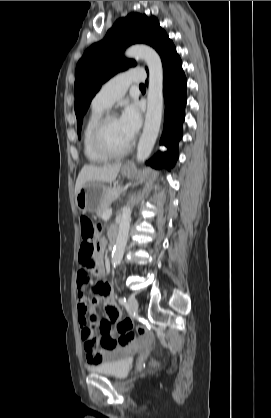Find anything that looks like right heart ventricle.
I'll return each mask as SVG.
<instances>
[{
    "label": "right heart ventricle",
    "instance_id": "e07e8e85",
    "mask_svg": "<svg viewBox=\"0 0 271 418\" xmlns=\"http://www.w3.org/2000/svg\"><path fill=\"white\" fill-rule=\"evenodd\" d=\"M106 109L92 106L84 125L82 141L83 152L87 160L91 163H103L109 158L100 154L93 146L92 132L98 120L104 115Z\"/></svg>",
    "mask_w": 271,
    "mask_h": 418
}]
</instances>
